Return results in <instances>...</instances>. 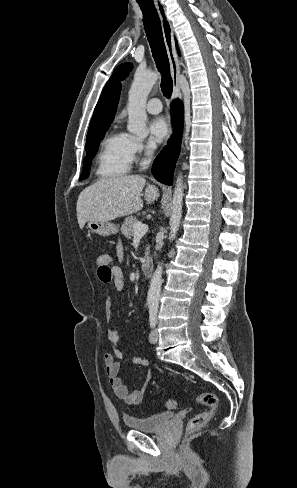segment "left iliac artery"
Instances as JSON below:
<instances>
[{"label":"left iliac artery","instance_id":"1","mask_svg":"<svg viewBox=\"0 0 297 488\" xmlns=\"http://www.w3.org/2000/svg\"><path fill=\"white\" fill-rule=\"evenodd\" d=\"M157 312L158 309L157 307H150L149 309V319H150V325L151 327H154L157 323Z\"/></svg>","mask_w":297,"mask_h":488}]
</instances>
